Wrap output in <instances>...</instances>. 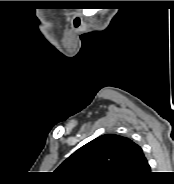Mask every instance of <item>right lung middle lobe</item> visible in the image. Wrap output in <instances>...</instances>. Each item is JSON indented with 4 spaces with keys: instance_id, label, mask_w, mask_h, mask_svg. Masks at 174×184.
Instances as JSON below:
<instances>
[{
    "instance_id": "1",
    "label": "right lung middle lobe",
    "mask_w": 174,
    "mask_h": 184,
    "mask_svg": "<svg viewBox=\"0 0 174 184\" xmlns=\"http://www.w3.org/2000/svg\"><path fill=\"white\" fill-rule=\"evenodd\" d=\"M121 183H123V182H120V183H115V184H121Z\"/></svg>"
}]
</instances>
